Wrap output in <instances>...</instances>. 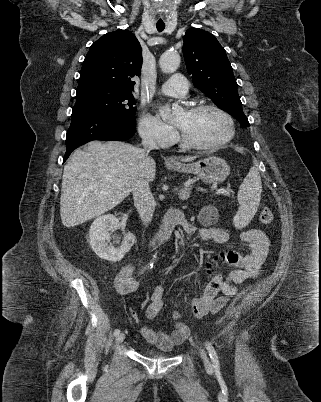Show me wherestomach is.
<instances>
[{"instance_id":"1","label":"stomach","mask_w":321,"mask_h":402,"mask_svg":"<svg viewBox=\"0 0 321 402\" xmlns=\"http://www.w3.org/2000/svg\"><path fill=\"white\" fill-rule=\"evenodd\" d=\"M177 172L193 173L207 183L223 182L230 173L227 162L215 156H210L189 164L171 165Z\"/></svg>"}]
</instances>
